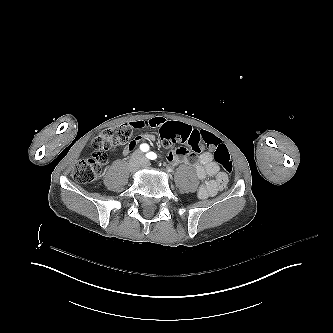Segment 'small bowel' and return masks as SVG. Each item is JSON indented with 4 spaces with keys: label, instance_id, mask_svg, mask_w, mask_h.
<instances>
[{
    "label": "small bowel",
    "instance_id": "small-bowel-1",
    "mask_svg": "<svg viewBox=\"0 0 333 333\" xmlns=\"http://www.w3.org/2000/svg\"><path fill=\"white\" fill-rule=\"evenodd\" d=\"M132 126L137 129L153 128L159 130L168 129L172 131H181L185 129L180 123L167 120L163 117L137 120L132 123ZM154 140L155 137L152 134L138 135L134 142L123 145L121 152L123 155H129L136 149L138 143L145 141L152 142ZM162 145L167 147L169 142L164 140ZM166 160L172 164H188L190 153L185 148H176L167 153ZM195 174L199 180H204L206 177H212V179L204 181L199 187L197 195L200 199L213 197L226 186L227 175L213 160V156L210 152H203L198 156L195 164Z\"/></svg>",
    "mask_w": 333,
    "mask_h": 333
}]
</instances>
